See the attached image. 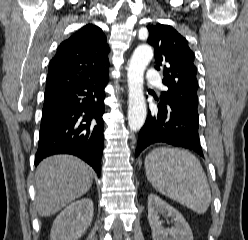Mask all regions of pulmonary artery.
Instances as JSON below:
<instances>
[{
	"label": "pulmonary artery",
	"mask_w": 248,
	"mask_h": 240,
	"mask_svg": "<svg viewBox=\"0 0 248 240\" xmlns=\"http://www.w3.org/2000/svg\"><path fill=\"white\" fill-rule=\"evenodd\" d=\"M146 79L149 83H157L160 80V74L157 71H149L147 73Z\"/></svg>",
	"instance_id": "1"
}]
</instances>
